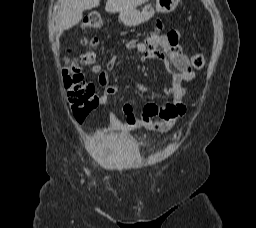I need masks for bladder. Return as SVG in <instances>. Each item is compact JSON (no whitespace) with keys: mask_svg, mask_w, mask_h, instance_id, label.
<instances>
[{"mask_svg":"<svg viewBox=\"0 0 256 228\" xmlns=\"http://www.w3.org/2000/svg\"><path fill=\"white\" fill-rule=\"evenodd\" d=\"M97 146L99 154L104 159H126L137 154L136 143L126 135L102 134Z\"/></svg>","mask_w":256,"mask_h":228,"instance_id":"bladder-1","label":"bladder"}]
</instances>
